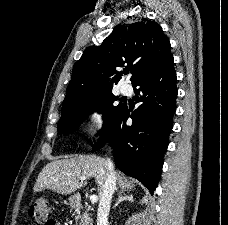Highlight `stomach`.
<instances>
[{
    "label": "stomach",
    "instance_id": "0dacf381",
    "mask_svg": "<svg viewBox=\"0 0 228 225\" xmlns=\"http://www.w3.org/2000/svg\"><path fill=\"white\" fill-rule=\"evenodd\" d=\"M69 203H70V207H75L76 203H78V197L77 195H71V197H69Z\"/></svg>",
    "mask_w": 228,
    "mask_h": 225
}]
</instances>
